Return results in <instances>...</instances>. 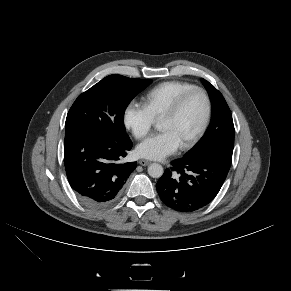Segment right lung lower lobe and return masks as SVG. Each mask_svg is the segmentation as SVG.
Listing matches in <instances>:
<instances>
[{"label":"right lung lower lobe","instance_id":"obj_1","mask_svg":"<svg viewBox=\"0 0 291 291\" xmlns=\"http://www.w3.org/2000/svg\"><path fill=\"white\" fill-rule=\"evenodd\" d=\"M131 148L126 133L75 132L65 136L67 178L85 205L104 207L119 196L136 168L135 162H121Z\"/></svg>","mask_w":291,"mask_h":291}]
</instances>
